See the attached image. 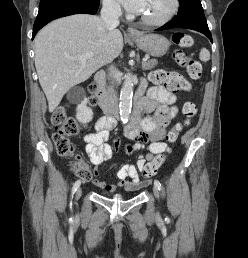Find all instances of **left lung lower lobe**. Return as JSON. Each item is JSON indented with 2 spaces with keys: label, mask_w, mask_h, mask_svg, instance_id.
Masks as SVG:
<instances>
[{
  "label": "left lung lower lobe",
  "mask_w": 248,
  "mask_h": 258,
  "mask_svg": "<svg viewBox=\"0 0 248 258\" xmlns=\"http://www.w3.org/2000/svg\"><path fill=\"white\" fill-rule=\"evenodd\" d=\"M172 28H186L201 32L212 42V36L203 12L194 13L187 17H174L171 21L157 29V31Z\"/></svg>",
  "instance_id": "left-lung-lower-lobe-1"
}]
</instances>
